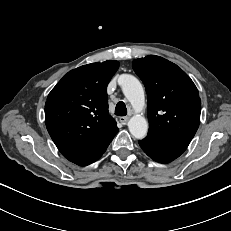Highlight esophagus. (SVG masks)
I'll list each match as a JSON object with an SVG mask.
<instances>
[{
  "instance_id": "obj_1",
  "label": "esophagus",
  "mask_w": 231,
  "mask_h": 231,
  "mask_svg": "<svg viewBox=\"0 0 231 231\" xmlns=\"http://www.w3.org/2000/svg\"><path fill=\"white\" fill-rule=\"evenodd\" d=\"M120 122L122 123V124H126L127 123V121L129 120V117L128 116H123V117H120Z\"/></svg>"
}]
</instances>
